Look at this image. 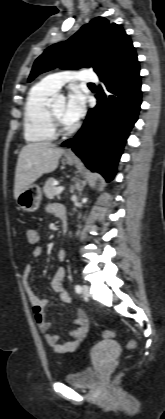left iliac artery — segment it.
Masks as SVG:
<instances>
[{"mask_svg":"<svg viewBox=\"0 0 165 419\" xmlns=\"http://www.w3.org/2000/svg\"><path fill=\"white\" fill-rule=\"evenodd\" d=\"M81 290H82V288H81V286L80 285H76L75 286V291H76V293H81Z\"/></svg>","mask_w":165,"mask_h":419,"instance_id":"obj_1","label":"left iliac artery"}]
</instances>
